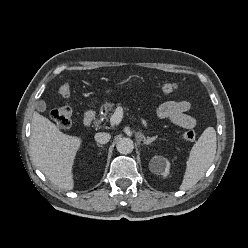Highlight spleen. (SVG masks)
<instances>
[{
    "mask_svg": "<svg viewBox=\"0 0 248 248\" xmlns=\"http://www.w3.org/2000/svg\"><path fill=\"white\" fill-rule=\"evenodd\" d=\"M216 131L213 127L204 130L190 151L181 190L193 187L211 166L216 154Z\"/></svg>",
    "mask_w": 248,
    "mask_h": 248,
    "instance_id": "spleen-1",
    "label": "spleen"
}]
</instances>
